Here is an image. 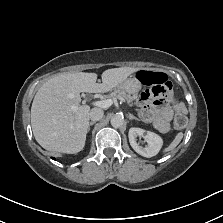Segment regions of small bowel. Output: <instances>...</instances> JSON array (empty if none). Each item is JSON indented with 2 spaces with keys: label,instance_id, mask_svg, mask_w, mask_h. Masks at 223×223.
<instances>
[{
  "label": "small bowel",
  "instance_id": "1",
  "mask_svg": "<svg viewBox=\"0 0 223 223\" xmlns=\"http://www.w3.org/2000/svg\"><path fill=\"white\" fill-rule=\"evenodd\" d=\"M140 110L147 119L161 132L170 129V121L174 112L184 110L182 103L175 98L172 85H155L142 92L138 98Z\"/></svg>",
  "mask_w": 223,
  "mask_h": 223
}]
</instances>
